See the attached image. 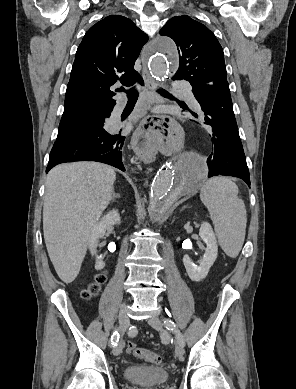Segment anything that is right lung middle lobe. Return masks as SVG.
Returning a JSON list of instances; mask_svg holds the SVG:
<instances>
[{
  "label": "right lung middle lobe",
  "mask_w": 296,
  "mask_h": 389,
  "mask_svg": "<svg viewBox=\"0 0 296 389\" xmlns=\"http://www.w3.org/2000/svg\"><path fill=\"white\" fill-rule=\"evenodd\" d=\"M109 117V114L104 115H76L66 118H61L57 140L78 135L86 132H91L94 129L104 124L105 118Z\"/></svg>",
  "instance_id": "obj_1"
}]
</instances>
